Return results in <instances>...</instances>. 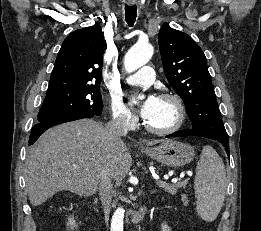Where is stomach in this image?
Segmentation results:
<instances>
[{
    "mask_svg": "<svg viewBox=\"0 0 261 231\" xmlns=\"http://www.w3.org/2000/svg\"><path fill=\"white\" fill-rule=\"evenodd\" d=\"M142 153L168 167L184 166L195 156L191 145L176 140H165L158 146L142 150Z\"/></svg>",
    "mask_w": 261,
    "mask_h": 231,
    "instance_id": "obj_1",
    "label": "stomach"
}]
</instances>
